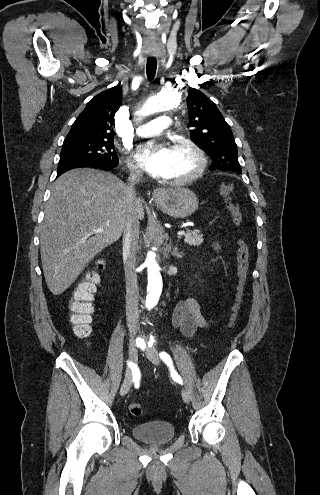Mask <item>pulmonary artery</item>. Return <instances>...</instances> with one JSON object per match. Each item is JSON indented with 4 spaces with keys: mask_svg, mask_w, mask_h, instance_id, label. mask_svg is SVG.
I'll return each instance as SVG.
<instances>
[{
    "mask_svg": "<svg viewBox=\"0 0 320 495\" xmlns=\"http://www.w3.org/2000/svg\"><path fill=\"white\" fill-rule=\"evenodd\" d=\"M172 120L169 116H159L158 118L147 122L137 128V135L142 137H148L159 134L160 132L168 129L171 126Z\"/></svg>",
    "mask_w": 320,
    "mask_h": 495,
    "instance_id": "e3ab8cb5",
    "label": "pulmonary artery"
}]
</instances>
